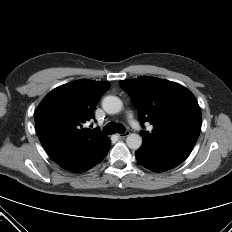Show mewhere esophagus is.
Returning a JSON list of instances; mask_svg holds the SVG:
<instances>
[{
	"label": "esophagus",
	"instance_id": "34e87169",
	"mask_svg": "<svg viewBox=\"0 0 232 232\" xmlns=\"http://www.w3.org/2000/svg\"><path fill=\"white\" fill-rule=\"evenodd\" d=\"M129 134H130V132H129V131H126L125 133L117 134V136H118L119 138H125V137H127Z\"/></svg>",
	"mask_w": 232,
	"mask_h": 232
}]
</instances>
